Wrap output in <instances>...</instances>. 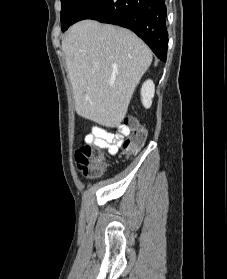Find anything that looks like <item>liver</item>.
Here are the masks:
<instances>
[{"instance_id": "6515ba94", "label": "liver", "mask_w": 227, "mask_h": 279, "mask_svg": "<svg viewBox=\"0 0 227 279\" xmlns=\"http://www.w3.org/2000/svg\"><path fill=\"white\" fill-rule=\"evenodd\" d=\"M62 50L78 115L117 127L152 62L151 50L132 31L94 20L74 24Z\"/></svg>"}]
</instances>
